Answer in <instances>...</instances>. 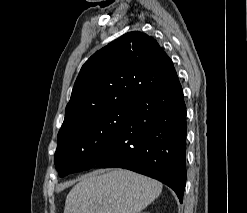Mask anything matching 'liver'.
<instances>
[{
  "label": "liver",
  "mask_w": 247,
  "mask_h": 213,
  "mask_svg": "<svg viewBox=\"0 0 247 213\" xmlns=\"http://www.w3.org/2000/svg\"><path fill=\"white\" fill-rule=\"evenodd\" d=\"M162 192V184L125 169L96 170L69 192L64 213H139Z\"/></svg>",
  "instance_id": "obj_1"
}]
</instances>
